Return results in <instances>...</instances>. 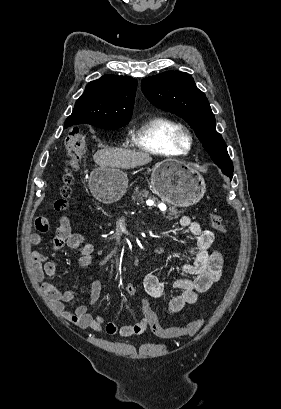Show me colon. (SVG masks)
<instances>
[{
  "mask_svg": "<svg viewBox=\"0 0 281 409\" xmlns=\"http://www.w3.org/2000/svg\"><path fill=\"white\" fill-rule=\"evenodd\" d=\"M87 146L86 138L79 132V130L74 129L66 139L65 151H66V162L71 165L76 159L80 158L84 153ZM65 183L69 181V177H65ZM67 187L62 189V193H66ZM59 205L63 207L65 205L64 201L59 202ZM211 224L219 232H225L226 228L221 216L217 214L211 215ZM184 326V325H183ZM201 327V323L188 322L186 327L180 328H169L164 329L159 324H151V330L159 335L160 337H169L171 335H194Z\"/></svg>",
  "mask_w": 281,
  "mask_h": 409,
  "instance_id": "1",
  "label": "colon"
}]
</instances>
